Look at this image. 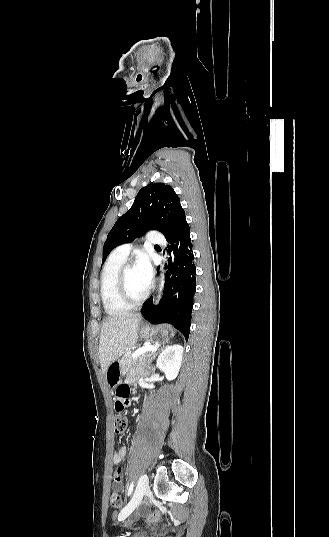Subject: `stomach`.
<instances>
[{"mask_svg": "<svg viewBox=\"0 0 329 537\" xmlns=\"http://www.w3.org/2000/svg\"><path fill=\"white\" fill-rule=\"evenodd\" d=\"M141 334L143 336L150 337L152 343L161 344L167 341V326L166 325H157L154 327H147L141 329ZM121 375V368L119 362L116 360L113 362L106 371V381L110 387L117 385Z\"/></svg>", "mask_w": 329, "mask_h": 537, "instance_id": "0dacf381", "label": "stomach"}]
</instances>
